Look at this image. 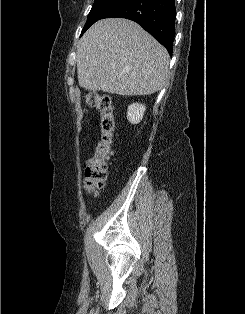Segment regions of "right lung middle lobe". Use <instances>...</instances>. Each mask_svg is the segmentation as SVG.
I'll list each match as a JSON object with an SVG mask.
<instances>
[{
    "instance_id": "right-lung-middle-lobe-1",
    "label": "right lung middle lobe",
    "mask_w": 245,
    "mask_h": 314,
    "mask_svg": "<svg viewBox=\"0 0 245 314\" xmlns=\"http://www.w3.org/2000/svg\"><path fill=\"white\" fill-rule=\"evenodd\" d=\"M126 0H95L82 34L95 22L103 19L109 12L124 3ZM81 34V35H82Z\"/></svg>"
}]
</instances>
